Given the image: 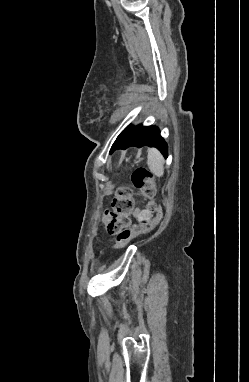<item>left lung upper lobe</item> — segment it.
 Wrapping results in <instances>:
<instances>
[{
	"mask_svg": "<svg viewBox=\"0 0 249 382\" xmlns=\"http://www.w3.org/2000/svg\"><path fill=\"white\" fill-rule=\"evenodd\" d=\"M132 126H128L127 128H125V130L123 131V132H125V131H127L128 129H130Z\"/></svg>",
	"mask_w": 249,
	"mask_h": 382,
	"instance_id": "left-lung-upper-lobe-1",
	"label": "left lung upper lobe"
}]
</instances>
